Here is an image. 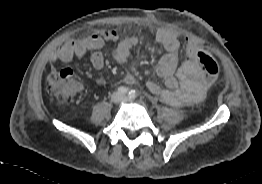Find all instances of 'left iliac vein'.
Listing matches in <instances>:
<instances>
[{
    "label": "left iliac vein",
    "instance_id": "4c4485c4",
    "mask_svg": "<svg viewBox=\"0 0 262 184\" xmlns=\"http://www.w3.org/2000/svg\"><path fill=\"white\" fill-rule=\"evenodd\" d=\"M123 100L124 101H128V100H130L128 97H123Z\"/></svg>",
    "mask_w": 262,
    "mask_h": 184
}]
</instances>
